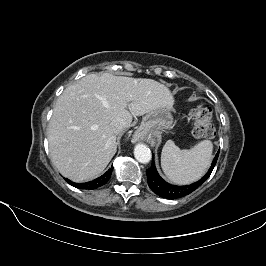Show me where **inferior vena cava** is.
Masks as SVG:
<instances>
[{"label": "inferior vena cava", "mask_w": 266, "mask_h": 266, "mask_svg": "<svg viewBox=\"0 0 266 266\" xmlns=\"http://www.w3.org/2000/svg\"><path fill=\"white\" fill-rule=\"evenodd\" d=\"M112 129L115 134H119L126 128V123L123 119L117 118L112 121Z\"/></svg>", "instance_id": "inferior-vena-cava-1"}]
</instances>
